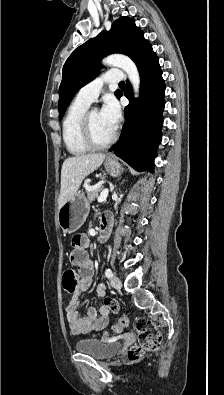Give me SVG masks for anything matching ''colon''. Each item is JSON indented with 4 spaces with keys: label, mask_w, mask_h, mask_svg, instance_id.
<instances>
[{
    "label": "colon",
    "mask_w": 224,
    "mask_h": 395,
    "mask_svg": "<svg viewBox=\"0 0 224 395\" xmlns=\"http://www.w3.org/2000/svg\"><path fill=\"white\" fill-rule=\"evenodd\" d=\"M63 279L65 290L69 293L74 292L78 285L76 271L73 268L66 269ZM105 303L112 311L118 312L119 307L116 301L107 298L105 299ZM129 324L130 322L127 316L119 315L112 330L116 334L121 333L124 329L128 328ZM135 326L138 334V341L137 344L133 345L128 350V358L132 361L138 360L147 352L157 351L162 340L161 333L151 321L139 318L136 320Z\"/></svg>",
    "instance_id": "5ec220e1"
}]
</instances>
